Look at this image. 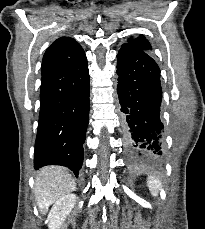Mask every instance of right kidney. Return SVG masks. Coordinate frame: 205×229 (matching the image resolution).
I'll return each mask as SVG.
<instances>
[{"label": "right kidney", "instance_id": "1", "mask_svg": "<svg viewBox=\"0 0 205 229\" xmlns=\"http://www.w3.org/2000/svg\"><path fill=\"white\" fill-rule=\"evenodd\" d=\"M75 202L76 195L68 194L54 203L47 218L49 229H60Z\"/></svg>", "mask_w": 205, "mask_h": 229}]
</instances>
